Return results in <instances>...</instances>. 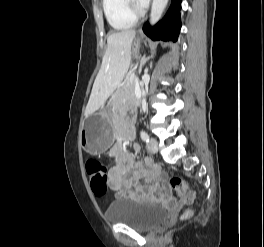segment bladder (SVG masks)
<instances>
[{
    "mask_svg": "<svg viewBox=\"0 0 264 247\" xmlns=\"http://www.w3.org/2000/svg\"><path fill=\"white\" fill-rule=\"evenodd\" d=\"M110 223L124 224L140 231H151L168 219L166 210L156 204L130 198L111 202L106 211Z\"/></svg>",
    "mask_w": 264,
    "mask_h": 247,
    "instance_id": "31cf9c89",
    "label": "bladder"
}]
</instances>
